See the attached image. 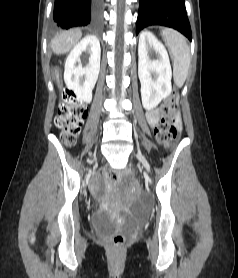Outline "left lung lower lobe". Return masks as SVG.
<instances>
[{"label": "left lung lower lobe", "instance_id": "left-lung-lower-lobe-1", "mask_svg": "<svg viewBox=\"0 0 238 278\" xmlns=\"http://www.w3.org/2000/svg\"><path fill=\"white\" fill-rule=\"evenodd\" d=\"M136 34L150 25L174 28L192 40L185 0H139Z\"/></svg>", "mask_w": 238, "mask_h": 278}]
</instances>
